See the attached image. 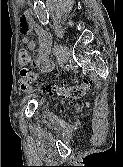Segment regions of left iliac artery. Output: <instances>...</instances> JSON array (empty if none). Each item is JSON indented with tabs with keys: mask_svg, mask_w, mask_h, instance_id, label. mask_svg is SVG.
<instances>
[{
	"mask_svg": "<svg viewBox=\"0 0 123 167\" xmlns=\"http://www.w3.org/2000/svg\"><path fill=\"white\" fill-rule=\"evenodd\" d=\"M61 50H62V46H61V45H56V46L54 47V53H55L56 55H58V54L61 52Z\"/></svg>",
	"mask_w": 123,
	"mask_h": 167,
	"instance_id": "obj_1",
	"label": "left iliac artery"
}]
</instances>
